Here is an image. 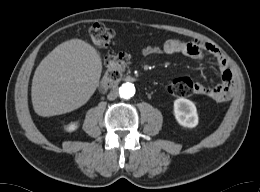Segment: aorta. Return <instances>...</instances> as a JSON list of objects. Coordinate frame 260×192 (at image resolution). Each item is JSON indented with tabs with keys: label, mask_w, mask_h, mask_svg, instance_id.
Listing matches in <instances>:
<instances>
[{
	"label": "aorta",
	"mask_w": 260,
	"mask_h": 192,
	"mask_svg": "<svg viewBox=\"0 0 260 192\" xmlns=\"http://www.w3.org/2000/svg\"><path fill=\"white\" fill-rule=\"evenodd\" d=\"M135 94V87L132 83H124L119 88V95L121 98L130 99Z\"/></svg>",
	"instance_id": "1"
}]
</instances>
